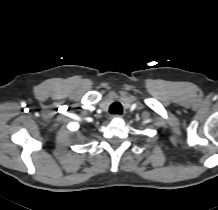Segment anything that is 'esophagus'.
I'll use <instances>...</instances> for the list:
<instances>
[{
	"instance_id": "obj_1",
	"label": "esophagus",
	"mask_w": 218,
	"mask_h": 210,
	"mask_svg": "<svg viewBox=\"0 0 218 210\" xmlns=\"http://www.w3.org/2000/svg\"><path fill=\"white\" fill-rule=\"evenodd\" d=\"M112 119L122 118V115L115 114L111 116Z\"/></svg>"
}]
</instances>
